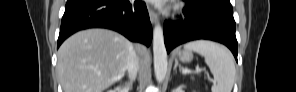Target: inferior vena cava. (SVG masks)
I'll return each mask as SVG.
<instances>
[{
  "mask_svg": "<svg viewBox=\"0 0 296 92\" xmlns=\"http://www.w3.org/2000/svg\"><path fill=\"white\" fill-rule=\"evenodd\" d=\"M138 68H139V60H138V57L136 56V53L132 47L130 55L127 60V66H126V69L129 74V78L131 80H135V78L137 76Z\"/></svg>",
  "mask_w": 296,
  "mask_h": 92,
  "instance_id": "inferior-vena-cava-1",
  "label": "inferior vena cava"
}]
</instances>
